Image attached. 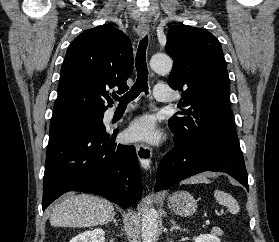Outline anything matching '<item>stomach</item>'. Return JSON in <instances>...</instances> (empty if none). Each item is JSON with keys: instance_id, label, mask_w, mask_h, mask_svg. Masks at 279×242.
<instances>
[{"instance_id": "0dacf381", "label": "stomach", "mask_w": 279, "mask_h": 242, "mask_svg": "<svg viewBox=\"0 0 279 242\" xmlns=\"http://www.w3.org/2000/svg\"><path fill=\"white\" fill-rule=\"evenodd\" d=\"M168 205L174 213L180 216H191L197 209V201L187 191L173 193L168 198Z\"/></svg>"}]
</instances>
